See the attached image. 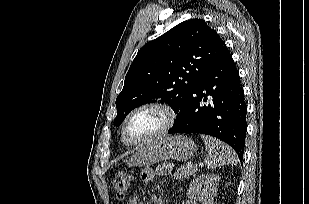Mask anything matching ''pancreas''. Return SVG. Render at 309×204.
Listing matches in <instances>:
<instances>
[{
  "instance_id": "obj_1",
  "label": "pancreas",
  "mask_w": 309,
  "mask_h": 204,
  "mask_svg": "<svg viewBox=\"0 0 309 204\" xmlns=\"http://www.w3.org/2000/svg\"><path fill=\"white\" fill-rule=\"evenodd\" d=\"M197 166L192 163H187L182 165L177 171L174 173L173 177L175 179H185L191 175H193L197 171Z\"/></svg>"
}]
</instances>
